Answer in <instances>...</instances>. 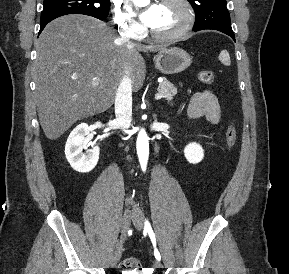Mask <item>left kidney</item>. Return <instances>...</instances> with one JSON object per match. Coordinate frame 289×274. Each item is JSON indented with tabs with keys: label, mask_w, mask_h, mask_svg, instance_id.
I'll use <instances>...</instances> for the list:
<instances>
[{
	"label": "left kidney",
	"mask_w": 289,
	"mask_h": 274,
	"mask_svg": "<svg viewBox=\"0 0 289 274\" xmlns=\"http://www.w3.org/2000/svg\"><path fill=\"white\" fill-rule=\"evenodd\" d=\"M184 156L189 163L197 164L204 158V150L197 143H190L184 149Z\"/></svg>",
	"instance_id": "1"
}]
</instances>
